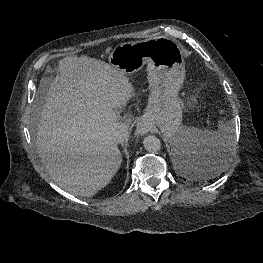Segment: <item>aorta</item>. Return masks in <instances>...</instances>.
<instances>
[{"label": "aorta", "mask_w": 263, "mask_h": 263, "mask_svg": "<svg viewBox=\"0 0 263 263\" xmlns=\"http://www.w3.org/2000/svg\"><path fill=\"white\" fill-rule=\"evenodd\" d=\"M144 148L151 152L155 153L161 149V142L160 140L154 135H148L143 140Z\"/></svg>", "instance_id": "obj_1"}]
</instances>
